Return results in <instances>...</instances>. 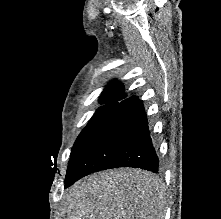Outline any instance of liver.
Wrapping results in <instances>:
<instances>
[{
	"instance_id": "liver-1",
	"label": "liver",
	"mask_w": 221,
	"mask_h": 219,
	"mask_svg": "<svg viewBox=\"0 0 221 219\" xmlns=\"http://www.w3.org/2000/svg\"><path fill=\"white\" fill-rule=\"evenodd\" d=\"M66 206L67 219H164L165 188L148 171L107 170L72 185Z\"/></svg>"
}]
</instances>
